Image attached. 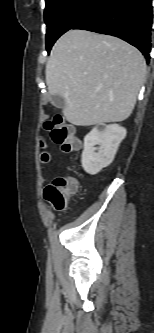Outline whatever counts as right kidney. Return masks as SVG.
I'll use <instances>...</instances> for the list:
<instances>
[{"label": "right kidney", "mask_w": 154, "mask_h": 333, "mask_svg": "<svg viewBox=\"0 0 154 333\" xmlns=\"http://www.w3.org/2000/svg\"><path fill=\"white\" fill-rule=\"evenodd\" d=\"M126 133V129L118 124L94 127L84 138L81 162L85 172L95 175L109 166Z\"/></svg>", "instance_id": "right-kidney-1"}]
</instances>
